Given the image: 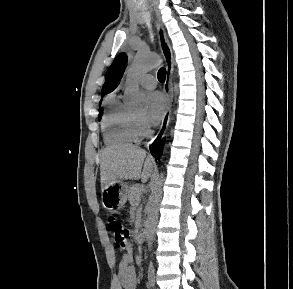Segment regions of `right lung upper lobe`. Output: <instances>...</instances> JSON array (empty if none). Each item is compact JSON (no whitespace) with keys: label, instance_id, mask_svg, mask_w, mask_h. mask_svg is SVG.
<instances>
[{"label":"right lung upper lobe","instance_id":"obj_1","mask_svg":"<svg viewBox=\"0 0 293 289\" xmlns=\"http://www.w3.org/2000/svg\"><path fill=\"white\" fill-rule=\"evenodd\" d=\"M126 65V54H119L108 69L105 84L102 87V96L112 92L118 86Z\"/></svg>","mask_w":293,"mask_h":289}]
</instances>
